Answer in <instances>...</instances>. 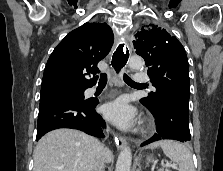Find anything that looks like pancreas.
Here are the masks:
<instances>
[{"instance_id": "1", "label": "pancreas", "mask_w": 223, "mask_h": 171, "mask_svg": "<svg viewBox=\"0 0 223 171\" xmlns=\"http://www.w3.org/2000/svg\"><path fill=\"white\" fill-rule=\"evenodd\" d=\"M158 171H164V170L160 169V170H158ZM166 171H170V170H166Z\"/></svg>"}]
</instances>
